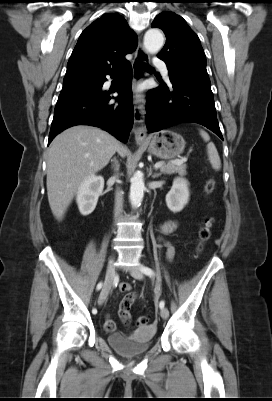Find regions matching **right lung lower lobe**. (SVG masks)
<instances>
[{
    "label": "right lung lower lobe",
    "instance_id": "1",
    "mask_svg": "<svg viewBox=\"0 0 272 401\" xmlns=\"http://www.w3.org/2000/svg\"><path fill=\"white\" fill-rule=\"evenodd\" d=\"M127 63V62H126ZM109 73L115 77L125 70V77L116 88V103H109L110 92L102 89L106 77L95 84L85 85L71 92L60 94L51 125L48 144L63 130L75 125H91L102 128L126 143L133 126L130 64ZM114 92V91H113Z\"/></svg>",
    "mask_w": 272,
    "mask_h": 401
}]
</instances>
